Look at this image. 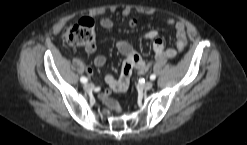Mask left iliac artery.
I'll use <instances>...</instances> for the list:
<instances>
[{"mask_svg":"<svg viewBox=\"0 0 247 145\" xmlns=\"http://www.w3.org/2000/svg\"><path fill=\"white\" fill-rule=\"evenodd\" d=\"M155 78H156V75H155V74H152V75L150 76V79H151V80H155Z\"/></svg>","mask_w":247,"mask_h":145,"instance_id":"obj_1","label":"left iliac artery"}]
</instances>
